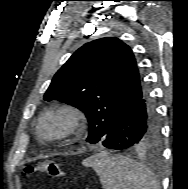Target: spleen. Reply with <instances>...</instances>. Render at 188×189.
<instances>
[{
  "label": "spleen",
  "mask_w": 188,
  "mask_h": 189,
  "mask_svg": "<svg viewBox=\"0 0 188 189\" xmlns=\"http://www.w3.org/2000/svg\"><path fill=\"white\" fill-rule=\"evenodd\" d=\"M83 165L95 170L103 189H157L145 166L122 155L110 156L102 151L86 158Z\"/></svg>",
  "instance_id": "obj_1"
}]
</instances>
